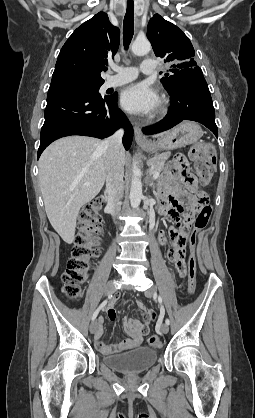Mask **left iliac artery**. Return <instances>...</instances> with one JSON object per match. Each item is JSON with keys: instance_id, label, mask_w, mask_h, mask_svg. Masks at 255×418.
Here are the masks:
<instances>
[{"instance_id": "left-iliac-artery-1", "label": "left iliac artery", "mask_w": 255, "mask_h": 418, "mask_svg": "<svg viewBox=\"0 0 255 418\" xmlns=\"http://www.w3.org/2000/svg\"><path fill=\"white\" fill-rule=\"evenodd\" d=\"M159 302L162 303V299L160 297H159ZM165 323L167 325H169L170 324V320L168 318H166Z\"/></svg>"}]
</instances>
